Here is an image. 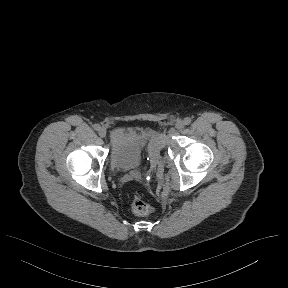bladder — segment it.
Here are the masks:
<instances>
[{"label":"bladder","instance_id":"1","mask_svg":"<svg viewBox=\"0 0 288 288\" xmlns=\"http://www.w3.org/2000/svg\"><path fill=\"white\" fill-rule=\"evenodd\" d=\"M159 145L151 130L118 128L110 134V165L118 171L137 169L144 160L159 155Z\"/></svg>","mask_w":288,"mask_h":288}]
</instances>
